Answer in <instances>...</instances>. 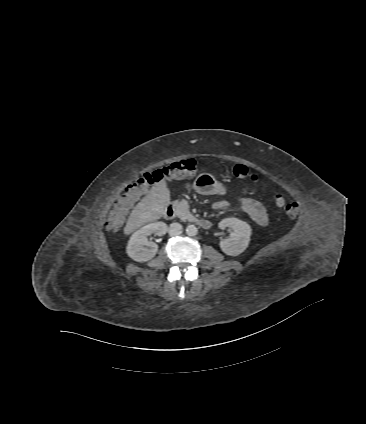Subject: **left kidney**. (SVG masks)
<instances>
[{"label": "left kidney", "instance_id": "obj_1", "mask_svg": "<svg viewBox=\"0 0 366 424\" xmlns=\"http://www.w3.org/2000/svg\"><path fill=\"white\" fill-rule=\"evenodd\" d=\"M219 228L233 229L230 237L222 239L219 243L221 250L230 256H237L245 251L250 242L251 227L248 223L238 218H225L219 222Z\"/></svg>", "mask_w": 366, "mask_h": 424}]
</instances>
